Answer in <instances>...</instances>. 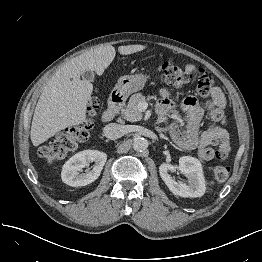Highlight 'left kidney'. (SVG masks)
Instances as JSON below:
<instances>
[{
  "label": "left kidney",
  "mask_w": 262,
  "mask_h": 262,
  "mask_svg": "<svg viewBox=\"0 0 262 262\" xmlns=\"http://www.w3.org/2000/svg\"><path fill=\"white\" fill-rule=\"evenodd\" d=\"M178 169L188 178V184L177 182L169 174V171ZM159 173L169 190L180 197H201L206 191L205 178L201 162L190 156H183L179 159V165L174 167L171 164L163 163L159 167Z\"/></svg>",
  "instance_id": "left-kidney-1"
}]
</instances>
